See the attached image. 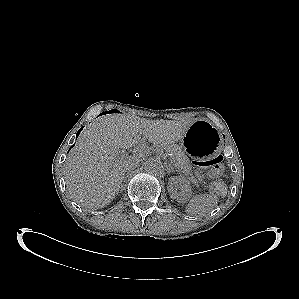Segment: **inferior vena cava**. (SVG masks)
I'll list each match as a JSON object with an SVG mask.
<instances>
[{
    "instance_id": "inferior-vena-cava-1",
    "label": "inferior vena cava",
    "mask_w": 299,
    "mask_h": 299,
    "mask_svg": "<svg viewBox=\"0 0 299 299\" xmlns=\"http://www.w3.org/2000/svg\"><path fill=\"white\" fill-rule=\"evenodd\" d=\"M139 162H140V161H138V160H134V161H132V162L129 164V170L136 168V167L138 166Z\"/></svg>"
}]
</instances>
